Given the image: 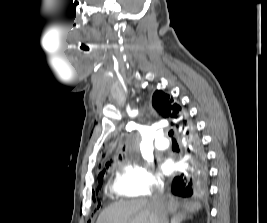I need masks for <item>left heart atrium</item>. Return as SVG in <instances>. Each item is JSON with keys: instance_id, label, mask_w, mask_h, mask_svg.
Segmentation results:
<instances>
[{"instance_id": "left-heart-atrium-1", "label": "left heart atrium", "mask_w": 267, "mask_h": 223, "mask_svg": "<svg viewBox=\"0 0 267 223\" xmlns=\"http://www.w3.org/2000/svg\"><path fill=\"white\" fill-rule=\"evenodd\" d=\"M175 168L173 160L166 159L161 165V169L165 174H170Z\"/></svg>"}]
</instances>
